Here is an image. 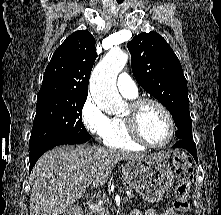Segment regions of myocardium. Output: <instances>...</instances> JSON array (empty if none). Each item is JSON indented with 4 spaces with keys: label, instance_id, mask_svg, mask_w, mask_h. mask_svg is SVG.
I'll use <instances>...</instances> for the list:
<instances>
[{
    "label": "myocardium",
    "instance_id": "f54148a6",
    "mask_svg": "<svg viewBox=\"0 0 221 215\" xmlns=\"http://www.w3.org/2000/svg\"><path fill=\"white\" fill-rule=\"evenodd\" d=\"M153 104L156 105L158 108L162 110V112L165 114L168 123H169V133L167 138L164 140V142L160 144H152L148 142L144 136L142 135L139 127V112L140 109L145 105V104ZM123 119L127 125L128 131L130 136L140 145L150 148V149H161L166 147L171 140L174 137L175 134V121L174 118L169 111V109L159 100L151 97H139L132 99L129 103L127 112L123 116Z\"/></svg>",
    "mask_w": 221,
    "mask_h": 215
}]
</instances>
